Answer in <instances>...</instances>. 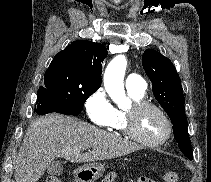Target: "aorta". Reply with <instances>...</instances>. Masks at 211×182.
Listing matches in <instances>:
<instances>
[{"label":"aorta","instance_id":"1","mask_svg":"<svg viewBox=\"0 0 211 182\" xmlns=\"http://www.w3.org/2000/svg\"><path fill=\"white\" fill-rule=\"evenodd\" d=\"M127 61L124 56H116L108 64L104 73V87L109 97L118 105L122 106L129 102L124 90V76Z\"/></svg>","mask_w":211,"mask_h":182}]
</instances>
